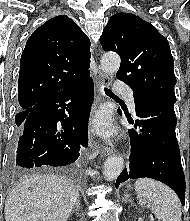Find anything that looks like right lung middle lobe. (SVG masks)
I'll use <instances>...</instances> for the list:
<instances>
[{
  "label": "right lung middle lobe",
  "mask_w": 190,
  "mask_h": 221,
  "mask_svg": "<svg viewBox=\"0 0 190 221\" xmlns=\"http://www.w3.org/2000/svg\"><path fill=\"white\" fill-rule=\"evenodd\" d=\"M25 119V112L22 111V112H19L16 116H15V122H16V125L19 127L22 125L23 121Z\"/></svg>",
  "instance_id": "1"
}]
</instances>
